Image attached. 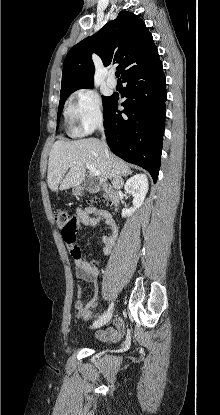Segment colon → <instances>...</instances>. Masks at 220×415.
<instances>
[{"instance_id":"obj_1","label":"colon","mask_w":220,"mask_h":415,"mask_svg":"<svg viewBox=\"0 0 220 415\" xmlns=\"http://www.w3.org/2000/svg\"><path fill=\"white\" fill-rule=\"evenodd\" d=\"M98 199L102 202L108 201V199L104 196H101ZM54 219L56 224L61 228L62 232L66 233L69 239L72 240L74 238V216L66 210L59 209L54 212Z\"/></svg>"}]
</instances>
